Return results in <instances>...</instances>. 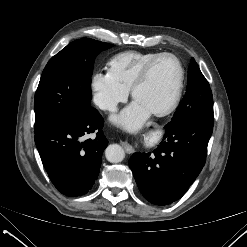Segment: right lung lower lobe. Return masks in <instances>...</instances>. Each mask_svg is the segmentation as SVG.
Masks as SVG:
<instances>
[{"mask_svg":"<svg viewBox=\"0 0 247 247\" xmlns=\"http://www.w3.org/2000/svg\"><path fill=\"white\" fill-rule=\"evenodd\" d=\"M104 120L95 108L35 134L42 163L55 187L67 196L86 194L94 185L108 141ZM96 133L82 142V136Z\"/></svg>","mask_w":247,"mask_h":247,"instance_id":"right-lung-lower-lobe-1","label":"right lung lower lobe"}]
</instances>
